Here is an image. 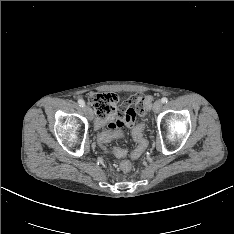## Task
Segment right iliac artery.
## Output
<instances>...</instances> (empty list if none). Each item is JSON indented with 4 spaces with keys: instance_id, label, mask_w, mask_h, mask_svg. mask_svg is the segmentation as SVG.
Masks as SVG:
<instances>
[{
    "instance_id": "right-iliac-artery-1",
    "label": "right iliac artery",
    "mask_w": 234,
    "mask_h": 234,
    "mask_svg": "<svg viewBox=\"0 0 234 234\" xmlns=\"http://www.w3.org/2000/svg\"><path fill=\"white\" fill-rule=\"evenodd\" d=\"M78 103H79V105H80L81 107H84V106H85V102H84V100H82V99H79V100H78Z\"/></svg>"
}]
</instances>
